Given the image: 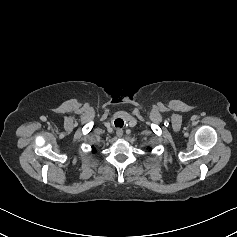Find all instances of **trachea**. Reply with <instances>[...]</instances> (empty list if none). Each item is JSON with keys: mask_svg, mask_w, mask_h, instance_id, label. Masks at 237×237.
Segmentation results:
<instances>
[{"mask_svg": "<svg viewBox=\"0 0 237 237\" xmlns=\"http://www.w3.org/2000/svg\"><path fill=\"white\" fill-rule=\"evenodd\" d=\"M114 123L116 127H120V128L123 127V124H124L123 120L120 118L116 119Z\"/></svg>", "mask_w": 237, "mask_h": 237, "instance_id": "trachea-1", "label": "trachea"}]
</instances>
